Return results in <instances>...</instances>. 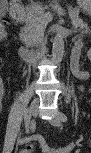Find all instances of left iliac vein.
Returning <instances> with one entry per match:
<instances>
[{
	"instance_id": "obj_1",
	"label": "left iliac vein",
	"mask_w": 91,
	"mask_h": 153,
	"mask_svg": "<svg viewBox=\"0 0 91 153\" xmlns=\"http://www.w3.org/2000/svg\"><path fill=\"white\" fill-rule=\"evenodd\" d=\"M61 118H60V114H56L51 120L50 123L55 126V127H60L61 126Z\"/></svg>"
}]
</instances>
